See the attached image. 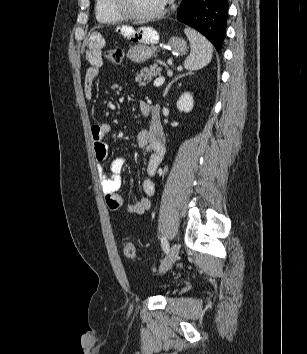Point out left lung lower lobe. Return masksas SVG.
<instances>
[{"instance_id": "left-lung-lower-lobe-1", "label": "left lung lower lobe", "mask_w": 307, "mask_h": 354, "mask_svg": "<svg viewBox=\"0 0 307 354\" xmlns=\"http://www.w3.org/2000/svg\"><path fill=\"white\" fill-rule=\"evenodd\" d=\"M227 14L228 0H182L177 18L206 36L220 51Z\"/></svg>"}]
</instances>
